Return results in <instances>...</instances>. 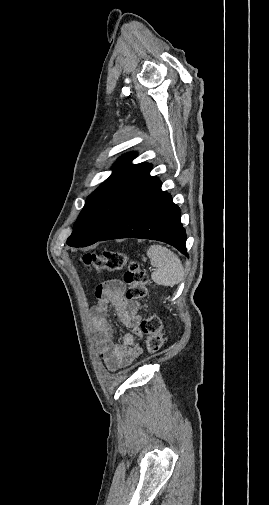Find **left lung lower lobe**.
Segmentation results:
<instances>
[{
    "mask_svg": "<svg viewBox=\"0 0 269 505\" xmlns=\"http://www.w3.org/2000/svg\"><path fill=\"white\" fill-rule=\"evenodd\" d=\"M148 164L132 197L124 206L111 228L98 240L141 238L158 240L177 248L188 256L186 233L180 221V209L161 182L149 173Z\"/></svg>",
    "mask_w": 269,
    "mask_h": 505,
    "instance_id": "0a47b994",
    "label": "left lung lower lobe"
}]
</instances>
